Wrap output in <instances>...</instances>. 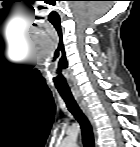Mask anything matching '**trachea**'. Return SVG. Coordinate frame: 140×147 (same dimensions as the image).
Wrapping results in <instances>:
<instances>
[{
    "label": "trachea",
    "mask_w": 140,
    "mask_h": 147,
    "mask_svg": "<svg viewBox=\"0 0 140 147\" xmlns=\"http://www.w3.org/2000/svg\"><path fill=\"white\" fill-rule=\"evenodd\" d=\"M60 95L65 101L68 110L73 114V116L76 118L81 126L82 141L84 147H95L93 130L90 122L88 121L82 110L79 108L73 95L71 93L63 92H60Z\"/></svg>",
    "instance_id": "obj_1"
}]
</instances>
